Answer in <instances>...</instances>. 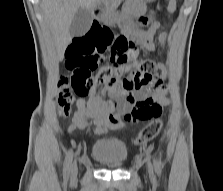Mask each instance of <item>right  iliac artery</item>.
Here are the masks:
<instances>
[{
  "mask_svg": "<svg viewBox=\"0 0 223 191\" xmlns=\"http://www.w3.org/2000/svg\"><path fill=\"white\" fill-rule=\"evenodd\" d=\"M72 158H73V151L72 149H70L67 152L66 158H65V162H64V175L67 177L69 175L70 172V168H71V163H72Z\"/></svg>",
  "mask_w": 223,
  "mask_h": 191,
  "instance_id": "82829eb1",
  "label": "right iliac artery"
}]
</instances>
